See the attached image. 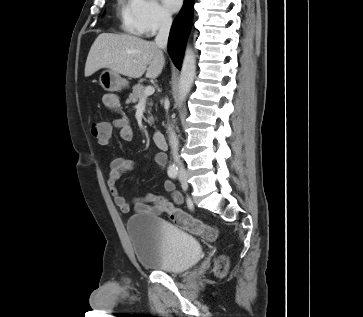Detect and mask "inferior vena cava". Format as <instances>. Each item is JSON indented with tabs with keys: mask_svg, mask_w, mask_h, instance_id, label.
<instances>
[{
	"mask_svg": "<svg viewBox=\"0 0 363 317\" xmlns=\"http://www.w3.org/2000/svg\"><path fill=\"white\" fill-rule=\"evenodd\" d=\"M171 25H172V18L169 15H162L160 19L159 31L157 36L155 37V44L160 49L163 50L167 49L168 36ZM168 133H169V144L172 150L173 159L176 162V164L179 166L180 171H184V167L180 161V157L178 154L179 141L175 131L170 125L168 126Z\"/></svg>",
	"mask_w": 363,
	"mask_h": 317,
	"instance_id": "inferior-vena-cava-1",
	"label": "inferior vena cava"
}]
</instances>
